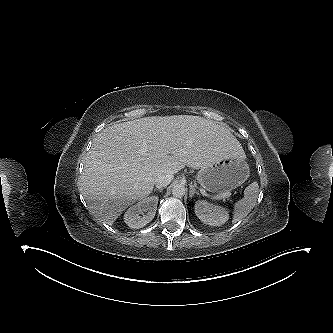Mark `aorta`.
Listing matches in <instances>:
<instances>
[{
	"instance_id": "1",
	"label": "aorta",
	"mask_w": 333,
	"mask_h": 333,
	"mask_svg": "<svg viewBox=\"0 0 333 333\" xmlns=\"http://www.w3.org/2000/svg\"><path fill=\"white\" fill-rule=\"evenodd\" d=\"M186 193V188L182 184H176L172 188V194L174 197L181 198L185 195Z\"/></svg>"
}]
</instances>
